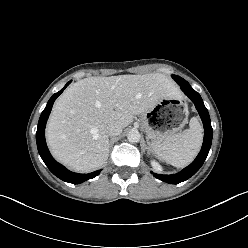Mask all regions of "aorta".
<instances>
[{"mask_svg": "<svg viewBox=\"0 0 248 248\" xmlns=\"http://www.w3.org/2000/svg\"><path fill=\"white\" fill-rule=\"evenodd\" d=\"M140 138H141V135L137 130H131L127 135V139L131 143L139 142Z\"/></svg>", "mask_w": 248, "mask_h": 248, "instance_id": "762f6f07", "label": "aorta"}]
</instances>
